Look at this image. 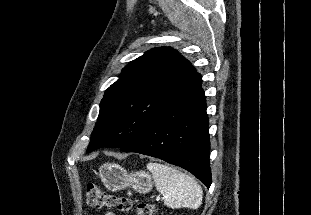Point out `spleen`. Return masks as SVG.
Wrapping results in <instances>:
<instances>
[{
  "label": "spleen",
  "mask_w": 311,
  "mask_h": 215,
  "mask_svg": "<svg viewBox=\"0 0 311 215\" xmlns=\"http://www.w3.org/2000/svg\"><path fill=\"white\" fill-rule=\"evenodd\" d=\"M147 170L152 174L156 189L165 195L166 206L190 209L200 207L203 198L202 188L191 176L157 162H150Z\"/></svg>",
  "instance_id": "obj_1"
}]
</instances>
